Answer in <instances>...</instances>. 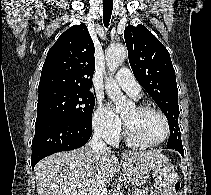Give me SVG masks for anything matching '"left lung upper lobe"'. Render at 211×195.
<instances>
[{
	"instance_id": "1",
	"label": "left lung upper lobe",
	"mask_w": 211,
	"mask_h": 195,
	"mask_svg": "<svg viewBox=\"0 0 211 195\" xmlns=\"http://www.w3.org/2000/svg\"><path fill=\"white\" fill-rule=\"evenodd\" d=\"M124 39L135 78L168 119L170 137L167 146H181L178 88L168 50L143 25L126 27Z\"/></svg>"
}]
</instances>
